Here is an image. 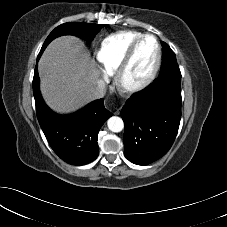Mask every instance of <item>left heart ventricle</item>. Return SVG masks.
Returning a JSON list of instances; mask_svg holds the SVG:
<instances>
[{
	"mask_svg": "<svg viewBox=\"0 0 227 227\" xmlns=\"http://www.w3.org/2000/svg\"><path fill=\"white\" fill-rule=\"evenodd\" d=\"M156 59V45L152 38L145 39L138 47L129 69L128 80L137 81L152 69Z\"/></svg>",
	"mask_w": 227,
	"mask_h": 227,
	"instance_id": "left-heart-ventricle-1",
	"label": "left heart ventricle"
}]
</instances>
